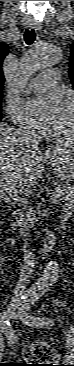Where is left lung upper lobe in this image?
I'll list each match as a JSON object with an SVG mask.
<instances>
[{
	"mask_svg": "<svg viewBox=\"0 0 74 366\" xmlns=\"http://www.w3.org/2000/svg\"><path fill=\"white\" fill-rule=\"evenodd\" d=\"M70 79L74 88V43L71 45Z\"/></svg>",
	"mask_w": 74,
	"mask_h": 366,
	"instance_id": "obj_1",
	"label": "left lung upper lobe"
}]
</instances>
